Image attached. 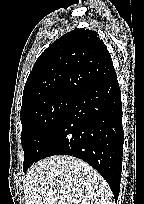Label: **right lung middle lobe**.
I'll use <instances>...</instances> for the list:
<instances>
[{"label": "right lung middle lobe", "mask_w": 144, "mask_h": 204, "mask_svg": "<svg viewBox=\"0 0 144 204\" xmlns=\"http://www.w3.org/2000/svg\"><path fill=\"white\" fill-rule=\"evenodd\" d=\"M75 96L72 93H59L21 112V142L25 154L23 171L37 161L42 146Z\"/></svg>", "instance_id": "right-lung-middle-lobe-1"}]
</instances>
